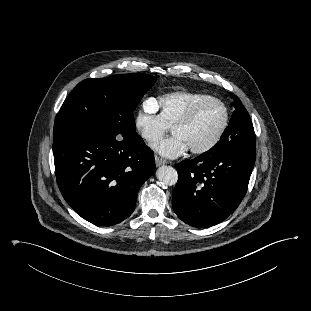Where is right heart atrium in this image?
I'll return each instance as SVG.
<instances>
[{"mask_svg": "<svg viewBox=\"0 0 311 311\" xmlns=\"http://www.w3.org/2000/svg\"><path fill=\"white\" fill-rule=\"evenodd\" d=\"M133 122L136 133L149 145L159 140L169 129L157 112L153 99L143 103L135 114Z\"/></svg>", "mask_w": 311, "mask_h": 311, "instance_id": "right-heart-atrium-1", "label": "right heart atrium"}]
</instances>
